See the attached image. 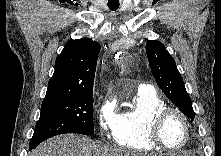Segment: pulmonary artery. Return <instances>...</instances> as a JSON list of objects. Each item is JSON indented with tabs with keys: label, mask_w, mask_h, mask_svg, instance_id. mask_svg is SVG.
<instances>
[{
	"label": "pulmonary artery",
	"mask_w": 221,
	"mask_h": 156,
	"mask_svg": "<svg viewBox=\"0 0 221 156\" xmlns=\"http://www.w3.org/2000/svg\"><path fill=\"white\" fill-rule=\"evenodd\" d=\"M138 90H152L150 85L140 84Z\"/></svg>",
	"instance_id": "obj_1"
}]
</instances>
